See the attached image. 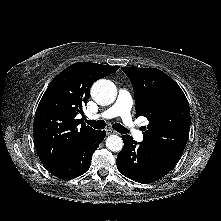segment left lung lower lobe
Instances as JSON below:
<instances>
[{"instance_id": "left-lung-lower-lobe-1", "label": "left lung lower lobe", "mask_w": 221, "mask_h": 221, "mask_svg": "<svg viewBox=\"0 0 221 221\" xmlns=\"http://www.w3.org/2000/svg\"><path fill=\"white\" fill-rule=\"evenodd\" d=\"M124 147L116 160L119 172L143 184L152 183L167 174L177 162L140 143L129 135L122 136Z\"/></svg>"}]
</instances>
